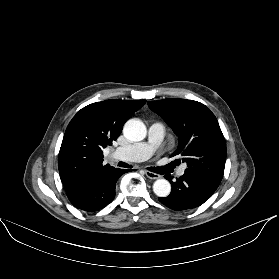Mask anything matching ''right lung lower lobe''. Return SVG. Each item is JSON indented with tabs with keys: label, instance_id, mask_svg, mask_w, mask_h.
<instances>
[{
	"label": "right lung lower lobe",
	"instance_id": "right-lung-lower-lobe-1",
	"mask_svg": "<svg viewBox=\"0 0 279 279\" xmlns=\"http://www.w3.org/2000/svg\"><path fill=\"white\" fill-rule=\"evenodd\" d=\"M129 170L116 169L92 182L67 191L70 202L78 209L93 212L104 208L115 197L117 179Z\"/></svg>",
	"mask_w": 279,
	"mask_h": 279
}]
</instances>
